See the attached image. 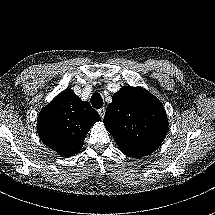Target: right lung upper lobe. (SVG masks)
Wrapping results in <instances>:
<instances>
[{
	"instance_id": "1",
	"label": "right lung upper lobe",
	"mask_w": 215,
	"mask_h": 215,
	"mask_svg": "<svg viewBox=\"0 0 215 215\" xmlns=\"http://www.w3.org/2000/svg\"><path fill=\"white\" fill-rule=\"evenodd\" d=\"M100 119L88 102L81 101L68 88L41 110L37 132L45 145L63 157H70L81 149L86 134Z\"/></svg>"
}]
</instances>
